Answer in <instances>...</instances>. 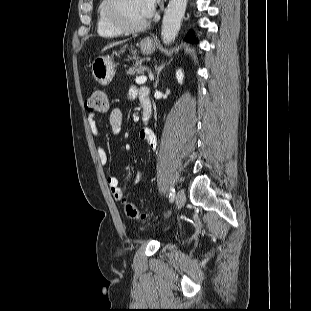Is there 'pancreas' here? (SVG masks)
<instances>
[{
    "mask_svg": "<svg viewBox=\"0 0 311 311\" xmlns=\"http://www.w3.org/2000/svg\"><path fill=\"white\" fill-rule=\"evenodd\" d=\"M144 67L141 66L139 62H137L133 67H130L126 73L127 75L140 74L144 71Z\"/></svg>",
    "mask_w": 311,
    "mask_h": 311,
    "instance_id": "obj_1",
    "label": "pancreas"
}]
</instances>
